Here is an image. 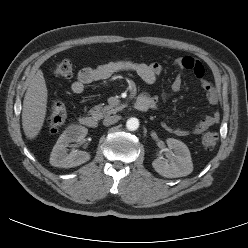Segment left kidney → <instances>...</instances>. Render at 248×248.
I'll return each instance as SVG.
<instances>
[{"label": "left kidney", "mask_w": 248, "mask_h": 248, "mask_svg": "<svg viewBox=\"0 0 248 248\" xmlns=\"http://www.w3.org/2000/svg\"><path fill=\"white\" fill-rule=\"evenodd\" d=\"M167 145L173 150V158L155 159L152 163L153 168L160 175L167 178H177L189 175L193 171V164L188 147L181 141L169 138Z\"/></svg>", "instance_id": "left-kidney-1"}]
</instances>
